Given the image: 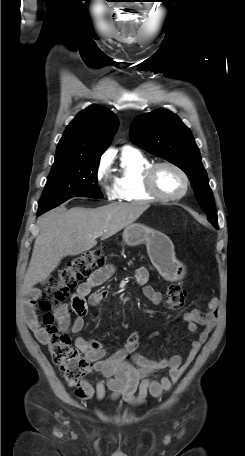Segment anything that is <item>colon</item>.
<instances>
[{
    "mask_svg": "<svg viewBox=\"0 0 245 456\" xmlns=\"http://www.w3.org/2000/svg\"><path fill=\"white\" fill-rule=\"evenodd\" d=\"M107 256L103 248L98 247L69 260L45 288L39 307L43 312V322L49 335L48 348L53 362L62 370L65 380L71 385H80L90 373L92 364L82 358L72 345L70 337L60 331L57 322L61 320L63 300L71 289L86 277L92 268L103 267ZM186 293L178 284H171L166 292L165 306L179 310L185 302Z\"/></svg>",
    "mask_w": 245,
    "mask_h": 456,
    "instance_id": "1",
    "label": "colon"
}]
</instances>
